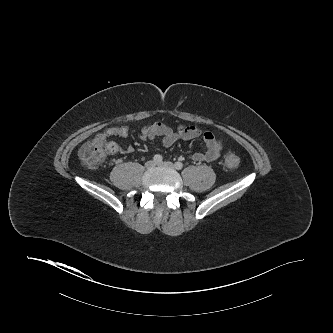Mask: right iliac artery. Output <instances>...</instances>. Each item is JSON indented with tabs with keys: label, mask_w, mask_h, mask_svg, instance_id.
Wrapping results in <instances>:
<instances>
[{
	"label": "right iliac artery",
	"mask_w": 333,
	"mask_h": 333,
	"mask_svg": "<svg viewBox=\"0 0 333 333\" xmlns=\"http://www.w3.org/2000/svg\"><path fill=\"white\" fill-rule=\"evenodd\" d=\"M153 160L155 163H161L162 160H163V157L159 154H156L154 157H153Z\"/></svg>",
	"instance_id": "obj_1"
}]
</instances>
